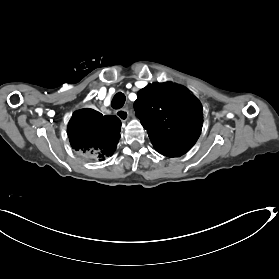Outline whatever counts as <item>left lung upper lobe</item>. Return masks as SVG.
I'll return each instance as SVG.
<instances>
[{
	"instance_id": "5c2ea615",
	"label": "left lung upper lobe",
	"mask_w": 279,
	"mask_h": 279,
	"mask_svg": "<svg viewBox=\"0 0 279 279\" xmlns=\"http://www.w3.org/2000/svg\"><path fill=\"white\" fill-rule=\"evenodd\" d=\"M134 109L154 148L164 156L185 154L199 138L202 108L182 86L148 84L137 93Z\"/></svg>"
}]
</instances>
